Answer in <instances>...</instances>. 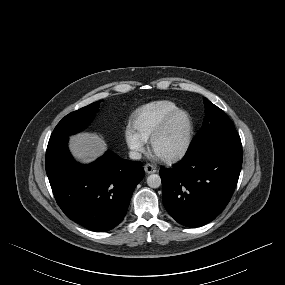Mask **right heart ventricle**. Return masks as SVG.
<instances>
[{"mask_svg": "<svg viewBox=\"0 0 285 285\" xmlns=\"http://www.w3.org/2000/svg\"><path fill=\"white\" fill-rule=\"evenodd\" d=\"M179 109L170 100H157L138 107L131 119V127L144 139L148 140L164 118Z\"/></svg>", "mask_w": 285, "mask_h": 285, "instance_id": "obj_1", "label": "right heart ventricle"}]
</instances>
